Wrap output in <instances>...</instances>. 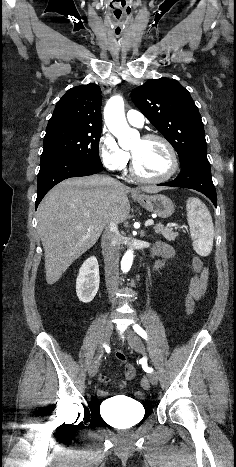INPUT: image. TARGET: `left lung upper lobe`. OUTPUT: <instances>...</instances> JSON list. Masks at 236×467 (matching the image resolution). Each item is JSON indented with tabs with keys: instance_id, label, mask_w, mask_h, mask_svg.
I'll return each instance as SVG.
<instances>
[{
	"instance_id": "obj_1",
	"label": "left lung upper lobe",
	"mask_w": 236,
	"mask_h": 467,
	"mask_svg": "<svg viewBox=\"0 0 236 467\" xmlns=\"http://www.w3.org/2000/svg\"><path fill=\"white\" fill-rule=\"evenodd\" d=\"M142 114L178 153L181 167L206 154L204 126L190 93L176 80L150 79L131 92Z\"/></svg>"
}]
</instances>
